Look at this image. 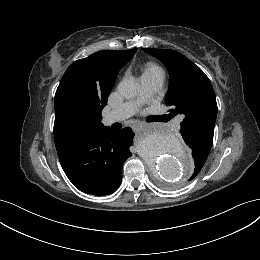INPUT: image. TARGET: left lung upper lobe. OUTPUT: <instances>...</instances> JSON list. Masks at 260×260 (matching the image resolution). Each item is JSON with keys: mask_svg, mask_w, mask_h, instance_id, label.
<instances>
[{"mask_svg": "<svg viewBox=\"0 0 260 260\" xmlns=\"http://www.w3.org/2000/svg\"><path fill=\"white\" fill-rule=\"evenodd\" d=\"M143 50L162 61L169 72V89L165 104L174 106L175 109L170 111L175 115L183 114L180 132H188L211 147L217 103L208 77L192 61L175 50L151 48ZM206 159L203 157L194 159V170L199 172Z\"/></svg>", "mask_w": 260, "mask_h": 260, "instance_id": "obj_1", "label": "left lung upper lobe"}]
</instances>
